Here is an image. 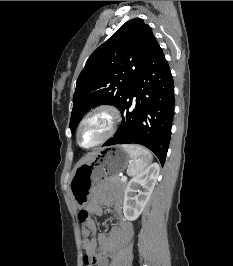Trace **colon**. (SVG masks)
I'll return each mask as SVG.
<instances>
[{"instance_id":"1","label":"colon","mask_w":233,"mask_h":266,"mask_svg":"<svg viewBox=\"0 0 233 266\" xmlns=\"http://www.w3.org/2000/svg\"><path fill=\"white\" fill-rule=\"evenodd\" d=\"M89 218H90V215H89V212L87 210H81L79 212L78 219H79V222L82 225V227L86 225V223L89 220ZM86 262L90 263L91 259L90 258H86Z\"/></svg>"}]
</instances>
